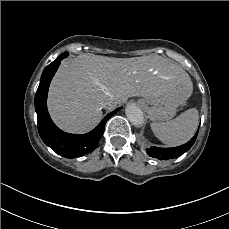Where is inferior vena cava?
<instances>
[{
    "label": "inferior vena cava",
    "mask_w": 229,
    "mask_h": 229,
    "mask_svg": "<svg viewBox=\"0 0 229 229\" xmlns=\"http://www.w3.org/2000/svg\"><path fill=\"white\" fill-rule=\"evenodd\" d=\"M107 103L110 104V105L108 107L106 105H103V108L110 109V108H113V107H115L117 105L116 103L112 104L110 101L107 102Z\"/></svg>",
    "instance_id": "602c4592"
}]
</instances>
